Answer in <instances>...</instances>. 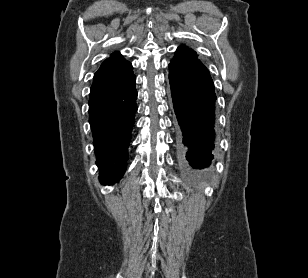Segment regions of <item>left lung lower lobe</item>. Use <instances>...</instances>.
<instances>
[{
  "mask_svg": "<svg viewBox=\"0 0 308 278\" xmlns=\"http://www.w3.org/2000/svg\"><path fill=\"white\" fill-rule=\"evenodd\" d=\"M178 142L191 167L204 169L213 158L215 89L208 69L195 59L169 64Z\"/></svg>",
  "mask_w": 308,
  "mask_h": 278,
  "instance_id": "left-lung-lower-lobe-1",
  "label": "left lung lower lobe"
}]
</instances>
